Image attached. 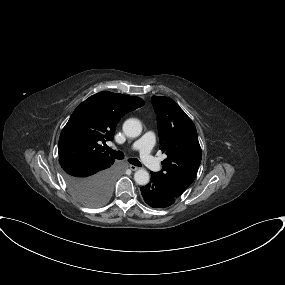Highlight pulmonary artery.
Wrapping results in <instances>:
<instances>
[{
	"mask_svg": "<svg viewBox=\"0 0 285 285\" xmlns=\"http://www.w3.org/2000/svg\"><path fill=\"white\" fill-rule=\"evenodd\" d=\"M154 143V134L151 131L146 132L140 139L135 141L131 149L139 152V157L143 164L152 171L160 170L159 162L152 156V147ZM124 150L127 148L124 147Z\"/></svg>",
	"mask_w": 285,
	"mask_h": 285,
	"instance_id": "e3ab8cb5",
	"label": "pulmonary artery"
}]
</instances>
